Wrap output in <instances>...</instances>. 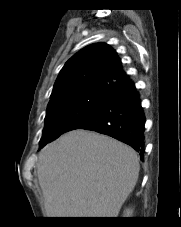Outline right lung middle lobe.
I'll use <instances>...</instances> for the list:
<instances>
[{
    "label": "right lung middle lobe",
    "instance_id": "1",
    "mask_svg": "<svg viewBox=\"0 0 181 227\" xmlns=\"http://www.w3.org/2000/svg\"><path fill=\"white\" fill-rule=\"evenodd\" d=\"M110 89L94 90L59 98L48 104L40 146L58 138L92 115L106 101Z\"/></svg>",
    "mask_w": 181,
    "mask_h": 227
}]
</instances>
